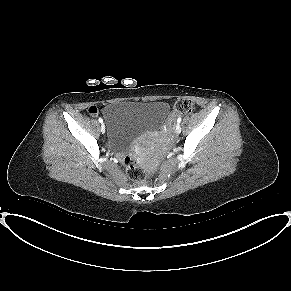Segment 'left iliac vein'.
<instances>
[{
	"label": "left iliac vein",
	"mask_w": 291,
	"mask_h": 291,
	"mask_svg": "<svg viewBox=\"0 0 291 291\" xmlns=\"http://www.w3.org/2000/svg\"><path fill=\"white\" fill-rule=\"evenodd\" d=\"M175 132H176L177 134H179V133L181 132V127H180L179 124H177L176 129H175Z\"/></svg>",
	"instance_id": "left-iliac-vein-1"
}]
</instances>
